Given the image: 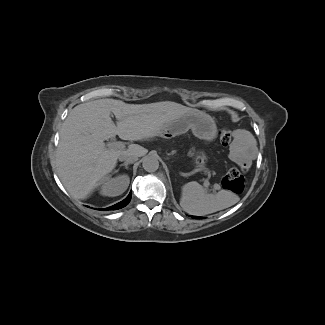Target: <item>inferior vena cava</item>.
<instances>
[{
	"instance_id": "inferior-vena-cava-1",
	"label": "inferior vena cava",
	"mask_w": 325,
	"mask_h": 325,
	"mask_svg": "<svg viewBox=\"0 0 325 325\" xmlns=\"http://www.w3.org/2000/svg\"><path fill=\"white\" fill-rule=\"evenodd\" d=\"M118 159L120 161H125V163H134L138 160V154L135 152L125 151L123 154L119 155Z\"/></svg>"
}]
</instances>
